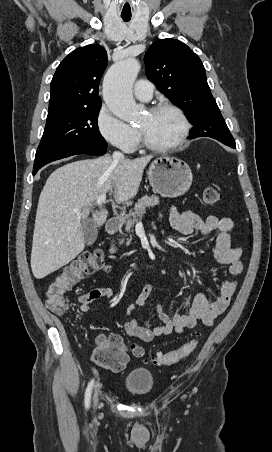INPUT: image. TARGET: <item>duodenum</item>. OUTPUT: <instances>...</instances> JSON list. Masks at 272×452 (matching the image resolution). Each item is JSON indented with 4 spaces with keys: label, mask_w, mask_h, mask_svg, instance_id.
<instances>
[{
    "label": "duodenum",
    "mask_w": 272,
    "mask_h": 452,
    "mask_svg": "<svg viewBox=\"0 0 272 452\" xmlns=\"http://www.w3.org/2000/svg\"><path fill=\"white\" fill-rule=\"evenodd\" d=\"M120 227H121V221L118 217H113V218L109 219L106 223V229L109 234H115L116 232H118ZM110 252L114 255H117L119 253L118 246L116 245V243L114 241L110 245Z\"/></svg>",
    "instance_id": "duodenum-1"
}]
</instances>
